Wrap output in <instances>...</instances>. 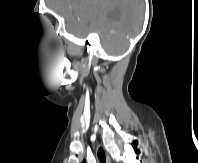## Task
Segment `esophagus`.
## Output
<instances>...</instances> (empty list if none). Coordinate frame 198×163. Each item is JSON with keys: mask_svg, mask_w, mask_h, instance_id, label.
<instances>
[{"mask_svg": "<svg viewBox=\"0 0 198 163\" xmlns=\"http://www.w3.org/2000/svg\"><path fill=\"white\" fill-rule=\"evenodd\" d=\"M106 161H107V163H111V159L108 154H106Z\"/></svg>", "mask_w": 198, "mask_h": 163, "instance_id": "esophagus-1", "label": "esophagus"}]
</instances>
